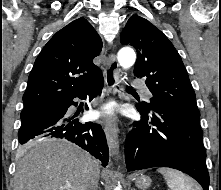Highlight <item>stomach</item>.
<instances>
[{"label": "stomach", "instance_id": "obj_1", "mask_svg": "<svg viewBox=\"0 0 221 190\" xmlns=\"http://www.w3.org/2000/svg\"><path fill=\"white\" fill-rule=\"evenodd\" d=\"M134 182H135V185L138 188L142 189V190L147 189L151 185L150 177L145 176V175H137V176H135L134 177Z\"/></svg>", "mask_w": 221, "mask_h": 190}]
</instances>
